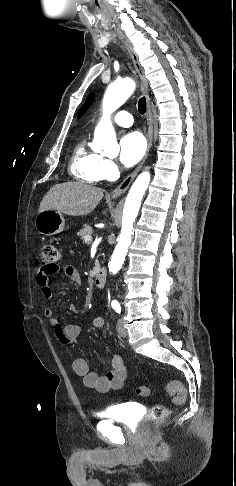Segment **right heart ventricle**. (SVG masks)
Segmentation results:
<instances>
[{
    "mask_svg": "<svg viewBox=\"0 0 236 486\" xmlns=\"http://www.w3.org/2000/svg\"><path fill=\"white\" fill-rule=\"evenodd\" d=\"M102 156L92 151L85 138L80 139L74 146L70 163V174L76 179L95 184L102 180L101 163Z\"/></svg>",
    "mask_w": 236,
    "mask_h": 486,
    "instance_id": "obj_1",
    "label": "right heart ventricle"
}]
</instances>
